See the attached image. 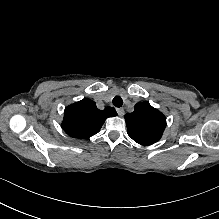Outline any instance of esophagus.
Instances as JSON below:
<instances>
[{"instance_id":"34e87169","label":"esophagus","mask_w":219,"mask_h":219,"mask_svg":"<svg viewBox=\"0 0 219 219\" xmlns=\"http://www.w3.org/2000/svg\"><path fill=\"white\" fill-rule=\"evenodd\" d=\"M116 111H117V113L120 117H122L124 115V109L123 108H117Z\"/></svg>"}]
</instances>
